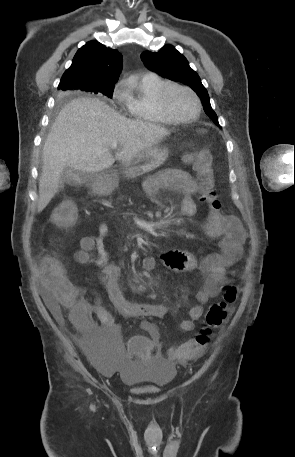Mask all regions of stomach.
<instances>
[{"label": "stomach", "mask_w": 295, "mask_h": 457, "mask_svg": "<svg viewBox=\"0 0 295 457\" xmlns=\"http://www.w3.org/2000/svg\"><path fill=\"white\" fill-rule=\"evenodd\" d=\"M169 149L164 145H154L139 152L133 158L122 162V173L128 178H135L159 167L168 157ZM119 182V171L109 169L101 172L92 182L93 190L98 194H109Z\"/></svg>", "instance_id": "0dacf381"}]
</instances>
